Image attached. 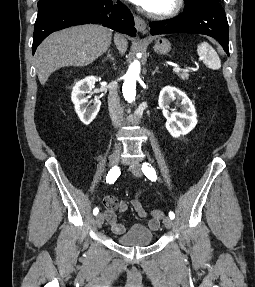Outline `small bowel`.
<instances>
[{"mask_svg":"<svg viewBox=\"0 0 255 287\" xmlns=\"http://www.w3.org/2000/svg\"><path fill=\"white\" fill-rule=\"evenodd\" d=\"M103 203L105 206V217L112 232L117 235L124 233L127 226L117 221L116 211L121 213L125 212L128 209L129 204L125 200H118L113 196L105 197ZM130 205L139 217H148L147 210L143 207L138 198L131 200ZM148 226L151 230H157L159 227V220L151 217L148 221Z\"/></svg>","mask_w":255,"mask_h":287,"instance_id":"1","label":"small bowel"}]
</instances>
